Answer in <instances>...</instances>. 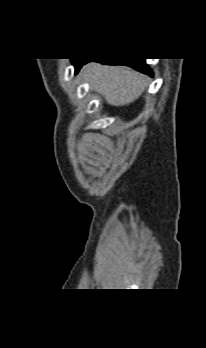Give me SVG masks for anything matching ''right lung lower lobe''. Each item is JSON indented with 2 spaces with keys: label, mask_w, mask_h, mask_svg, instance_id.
Wrapping results in <instances>:
<instances>
[{
  "label": "right lung lower lobe",
  "mask_w": 206,
  "mask_h": 348,
  "mask_svg": "<svg viewBox=\"0 0 206 348\" xmlns=\"http://www.w3.org/2000/svg\"><path fill=\"white\" fill-rule=\"evenodd\" d=\"M90 61H97L104 64L111 65H126L130 66L142 73L148 74L149 76H153L152 71L146 65L145 59H72V62L75 66L76 73L79 71L81 66Z\"/></svg>",
  "instance_id": "obj_1"
}]
</instances>
